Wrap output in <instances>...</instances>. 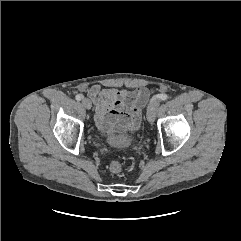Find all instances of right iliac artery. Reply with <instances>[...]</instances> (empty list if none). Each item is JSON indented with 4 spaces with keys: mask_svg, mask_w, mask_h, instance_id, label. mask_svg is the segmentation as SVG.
Instances as JSON below:
<instances>
[{
    "mask_svg": "<svg viewBox=\"0 0 241 241\" xmlns=\"http://www.w3.org/2000/svg\"><path fill=\"white\" fill-rule=\"evenodd\" d=\"M75 98H76L77 101H80L82 99V95L78 94V95H76Z\"/></svg>",
    "mask_w": 241,
    "mask_h": 241,
    "instance_id": "1",
    "label": "right iliac artery"
}]
</instances>
